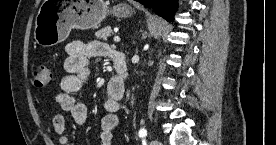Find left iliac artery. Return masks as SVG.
Listing matches in <instances>:
<instances>
[{
  "label": "left iliac artery",
  "instance_id": "obj_1",
  "mask_svg": "<svg viewBox=\"0 0 276 145\" xmlns=\"http://www.w3.org/2000/svg\"><path fill=\"white\" fill-rule=\"evenodd\" d=\"M147 136V130L145 128H141L139 130V137L144 138Z\"/></svg>",
  "mask_w": 276,
  "mask_h": 145
}]
</instances>
